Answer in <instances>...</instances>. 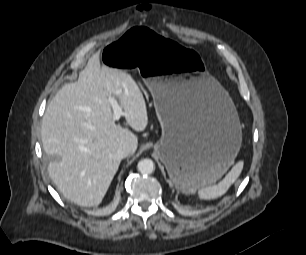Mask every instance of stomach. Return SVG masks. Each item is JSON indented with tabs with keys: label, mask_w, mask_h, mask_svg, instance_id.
I'll return each mask as SVG.
<instances>
[{
	"label": "stomach",
	"mask_w": 306,
	"mask_h": 255,
	"mask_svg": "<svg viewBox=\"0 0 306 255\" xmlns=\"http://www.w3.org/2000/svg\"><path fill=\"white\" fill-rule=\"evenodd\" d=\"M101 57L110 68L136 66L162 128L154 151L178 190L192 194L228 170L242 142L238 113L195 50L132 27L117 43L105 44Z\"/></svg>",
	"instance_id": "0dacf381"
}]
</instances>
